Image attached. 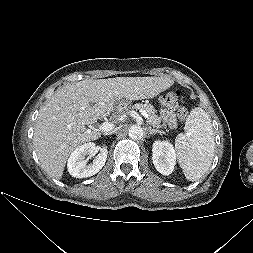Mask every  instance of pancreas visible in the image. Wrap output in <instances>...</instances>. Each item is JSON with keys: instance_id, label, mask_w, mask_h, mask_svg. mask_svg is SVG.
I'll return each mask as SVG.
<instances>
[{"instance_id": "cf45deb5", "label": "pancreas", "mask_w": 253, "mask_h": 253, "mask_svg": "<svg viewBox=\"0 0 253 253\" xmlns=\"http://www.w3.org/2000/svg\"><path fill=\"white\" fill-rule=\"evenodd\" d=\"M133 109L145 110L148 114L147 122L159 129L161 127V118L157 115V110L151 104L137 103L132 106Z\"/></svg>"}]
</instances>
